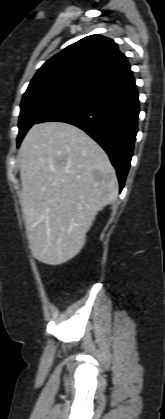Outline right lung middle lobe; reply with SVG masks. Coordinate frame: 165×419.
<instances>
[{
	"mask_svg": "<svg viewBox=\"0 0 165 419\" xmlns=\"http://www.w3.org/2000/svg\"><path fill=\"white\" fill-rule=\"evenodd\" d=\"M84 94L86 93L83 91L60 86L35 89L25 93L20 106L17 147L28 129L41 117Z\"/></svg>",
	"mask_w": 165,
	"mask_h": 419,
	"instance_id": "right-lung-middle-lobe-1",
	"label": "right lung middle lobe"
}]
</instances>
